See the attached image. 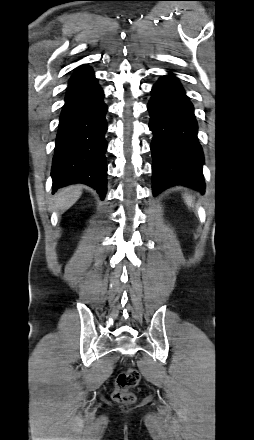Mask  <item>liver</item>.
<instances>
[{"label": "liver", "mask_w": 254, "mask_h": 440, "mask_svg": "<svg viewBox=\"0 0 254 440\" xmlns=\"http://www.w3.org/2000/svg\"><path fill=\"white\" fill-rule=\"evenodd\" d=\"M81 194L82 188L79 185H71L60 189L55 195L54 205L59 211L64 212L76 203Z\"/></svg>", "instance_id": "1"}]
</instances>
